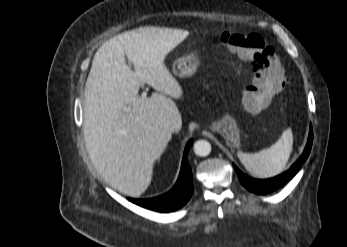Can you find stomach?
<instances>
[{"label": "stomach", "mask_w": 347, "mask_h": 247, "mask_svg": "<svg viewBox=\"0 0 347 247\" xmlns=\"http://www.w3.org/2000/svg\"><path fill=\"white\" fill-rule=\"evenodd\" d=\"M199 63L200 52L193 51L175 61L173 64V73L180 78L190 77L196 72ZM210 128L220 133L226 139L227 143L232 146L236 147L239 145L240 132L235 117L230 113H225L221 119L214 121Z\"/></svg>", "instance_id": "0dacf381"}]
</instances>
